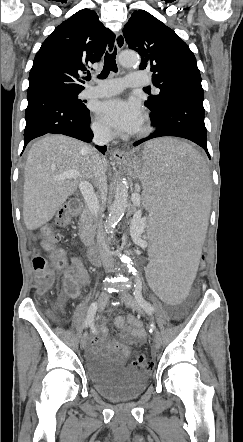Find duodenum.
Returning <instances> with one entry per match:
<instances>
[{
	"instance_id": "410a0bca",
	"label": "duodenum",
	"mask_w": 243,
	"mask_h": 442,
	"mask_svg": "<svg viewBox=\"0 0 243 442\" xmlns=\"http://www.w3.org/2000/svg\"><path fill=\"white\" fill-rule=\"evenodd\" d=\"M80 209V202L78 200L72 201L70 210L72 213H76ZM88 261L92 264H101L99 252L95 248H89L87 251Z\"/></svg>"
}]
</instances>
